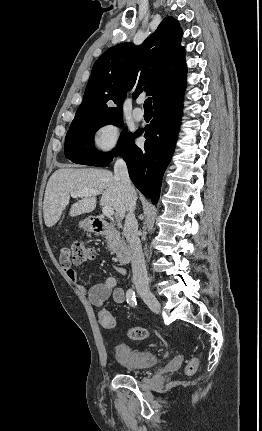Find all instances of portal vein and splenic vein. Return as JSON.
I'll return each instance as SVG.
<instances>
[{
    "mask_svg": "<svg viewBox=\"0 0 262 431\" xmlns=\"http://www.w3.org/2000/svg\"><path fill=\"white\" fill-rule=\"evenodd\" d=\"M70 194L73 198H77V197L97 196L100 194V192L98 190H86L81 192L73 191ZM102 212L105 216L110 217V216H113L114 209L110 206H105L103 207Z\"/></svg>",
    "mask_w": 262,
    "mask_h": 431,
    "instance_id": "18ae733b",
    "label": "portal vein and splenic vein"
}]
</instances>
